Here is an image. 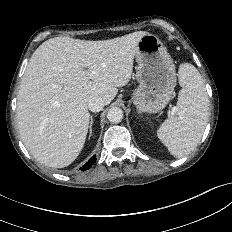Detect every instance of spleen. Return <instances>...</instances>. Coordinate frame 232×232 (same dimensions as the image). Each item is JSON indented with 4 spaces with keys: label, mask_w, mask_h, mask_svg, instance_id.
Wrapping results in <instances>:
<instances>
[{
    "label": "spleen",
    "mask_w": 232,
    "mask_h": 232,
    "mask_svg": "<svg viewBox=\"0 0 232 232\" xmlns=\"http://www.w3.org/2000/svg\"><path fill=\"white\" fill-rule=\"evenodd\" d=\"M182 89L178 95V116L169 117L157 134L177 158L188 155L199 143L208 121V97L199 71L182 63L178 71Z\"/></svg>",
    "instance_id": "1"
}]
</instances>
